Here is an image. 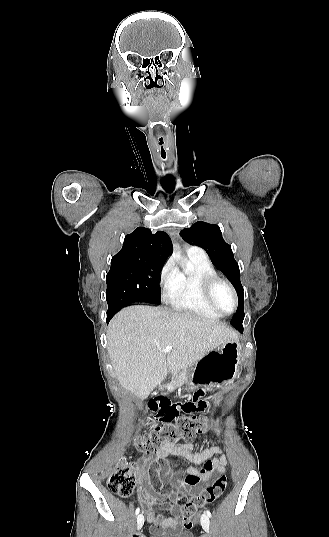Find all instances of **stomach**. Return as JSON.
<instances>
[{"label":"stomach","mask_w":329,"mask_h":537,"mask_svg":"<svg viewBox=\"0 0 329 537\" xmlns=\"http://www.w3.org/2000/svg\"><path fill=\"white\" fill-rule=\"evenodd\" d=\"M241 361V343L239 339H230L199 360L193 373L185 380L189 389L200 384H215L232 379L236 376ZM173 389L171 384L166 386Z\"/></svg>","instance_id":"obj_1"}]
</instances>
